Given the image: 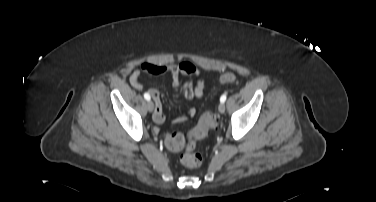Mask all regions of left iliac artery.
I'll return each mask as SVG.
<instances>
[{
  "label": "left iliac artery",
  "instance_id": "left-iliac-artery-1",
  "mask_svg": "<svg viewBox=\"0 0 376 202\" xmlns=\"http://www.w3.org/2000/svg\"><path fill=\"white\" fill-rule=\"evenodd\" d=\"M226 98H227L226 94H223V95L220 97V102H221V103H224V102L226 101Z\"/></svg>",
  "mask_w": 376,
  "mask_h": 202
}]
</instances>
